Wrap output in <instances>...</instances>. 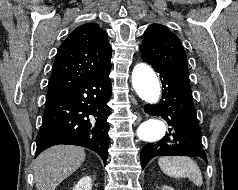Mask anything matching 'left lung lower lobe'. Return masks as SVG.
Returning <instances> with one entry per match:
<instances>
[{
  "mask_svg": "<svg viewBox=\"0 0 238 190\" xmlns=\"http://www.w3.org/2000/svg\"><path fill=\"white\" fill-rule=\"evenodd\" d=\"M143 59V58H142ZM160 74L163 85L158 105H148L145 112L162 116L172 128L161 140L148 143L141 150L142 168L155 156H198L207 161L201 142V129L193 104L188 70L160 65L146 59Z\"/></svg>",
  "mask_w": 238,
  "mask_h": 190,
  "instance_id": "left-lung-lower-lobe-1",
  "label": "left lung lower lobe"
}]
</instances>
